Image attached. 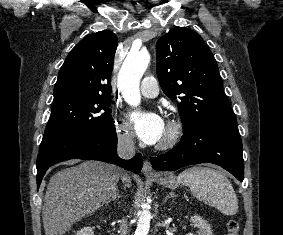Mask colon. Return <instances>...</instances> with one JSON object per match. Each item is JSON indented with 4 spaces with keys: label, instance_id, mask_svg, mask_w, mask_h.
Segmentation results:
<instances>
[{
    "label": "colon",
    "instance_id": "1",
    "mask_svg": "<svg viewBox=\"0 0 283 235\" xmlns=\"http://www.w3.org/2000/svg\"><path fill=\"white\" fill-rule=\"evenodd\" d=\"M227 235H238L239 223L234 219H228L226 221Z\"/></svg>",
    "mask_w": 283,
    "mask_h": 235
}]
</instances>
